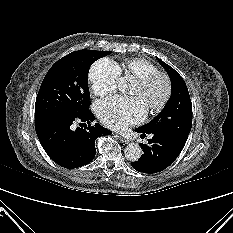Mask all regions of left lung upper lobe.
Returning <instances> with one entry per match:
<instances>
[{"label": "left lung upper lobe", "mask_w": 233, "mask_h": 233, "mask_svg": "<svg viewBox=\"0 0 233 233\" xmlns=\"http://www.w3.org/2000/svg\"><path fill=\"white\" fill-rule=\"evenodd\" d=\"M157 60L171 79V96L157 117L139 129L144 132L165 131L185 144L192 126V103L189 92L179 73L161 59Z\"/></svg>", "instance_id": "5c2ea615"}]
</instances>
